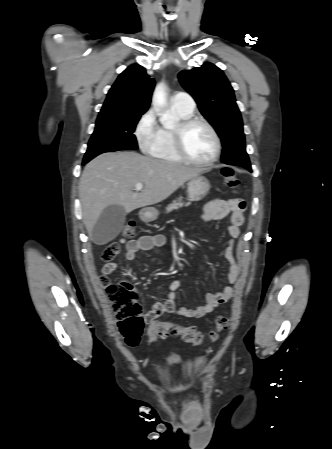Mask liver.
<instances>
[{
    "label": "liver",
    "instance_id": "liver-1",
    "mask_svg": "<svg viewBox=\"0 0 332 449\" xmlns=\"http://www.w3.org/2000/svg\"><path fill=\"white\" fill-rule=\"evenodd\" d=\"M201 172L136 152L99 155L85 166L79 182L83 220L89 236L107 206L120 205L129 213L159 203ZM137 183L144 186L140 192H134Z\"/></svg>",
    "mask_w": 332,
    "mask_h": 449
}]
</instances>
